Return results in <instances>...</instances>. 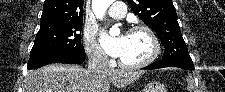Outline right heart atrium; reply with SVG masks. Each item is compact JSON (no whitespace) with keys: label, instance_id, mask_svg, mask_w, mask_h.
Masks as SVG:
<instances>
[{"label":"right heart atrium","instance_id":"1","mask_svg":"<svg viewBox=\"0 0 225 92\" xmlns=\"http://www.w3.org/2000/svg\"><path fill=\"white\" fill-rule=\"evenodd\" d=\"M84 43L88 56L99 63L106 61L105 54L96 41V32L92 28H86L84 31Z\"/></svg>","mask_w":225,"mask_h":92}]
</instances>
